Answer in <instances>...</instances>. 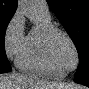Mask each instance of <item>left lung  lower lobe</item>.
Returning <instances> with one entry per match:
<instances>
[{"mask_svg": "<svg viewBox=\"0 0 89 89\" xmlns=\"http://www.w3.org/2000/svg\"><path fill=\"white\" fill-rule=\"evenodd\" d=\"M74 81L89 87V76L85 74H80L75 76Z\"/></svg>", "mask_w": 89, "mask_h": 89, "instance_id": "left-lung-lower-lobe-1", "label": "left lung lower lobe"}]
</instances>
